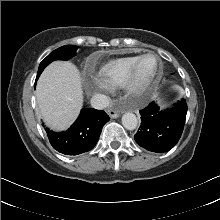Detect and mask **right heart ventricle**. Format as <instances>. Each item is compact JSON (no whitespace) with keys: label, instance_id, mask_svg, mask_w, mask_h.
Returning a JSON list of instances; mask_svg holds the SVG:
<instances>
[{"label":"right heart ventricle","instance_id":"right-heart-ventricle-1","mask_svg":"<svg viewBox=\"0 0 220 220\" xmlns=\"http://www.w3.org/2000/svg\"><path fill=\"white\" fill-rule=\"evenodd\" d=\"M139 56H128L111 60L97 70L99 79L111 87H123Z\"/></svg>","mask_w":220,"mask_h":220}]
</instances>
